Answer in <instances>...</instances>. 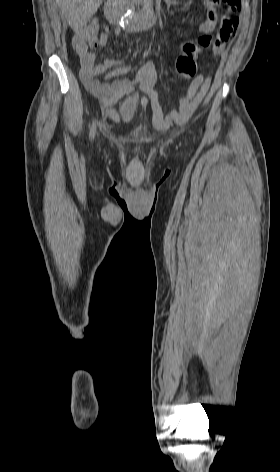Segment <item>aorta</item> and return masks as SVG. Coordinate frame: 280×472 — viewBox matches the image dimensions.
Segmentation results:
<instances>
[{"label": "aorta", "mask_w": 280, "mask_h": 472, "mask_svg": "<svg viewBox=\"0 0 280 472\" xmlns=\"http://www.w3.org/2000/svg\"><path fill=\"white\" fill-rule=\"evenodd\" d=\"M131 18H132V10H129L128 13L122 18L121 25L122 26L128 25Z\"/></svg>", "instance_id": "1"}]
</instances>
